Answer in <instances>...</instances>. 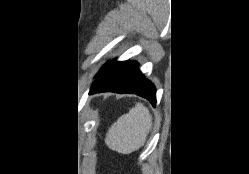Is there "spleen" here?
<instances>
[{"instance_id": "obj_1", "label": "spleen", "mask_w": 249, "mask_h": 174, "mask_svg": "<svg viewBox=\"0 0 249 174\" xmlns=\"http://www.w3.org/2000/svg\"><path fill=\"white\" fill-rule=\"evenodd\" d=\"M152 128V116L142 103L120 116L109 128L105 144L113 151L130 154L141 148Z\"/></svg>"}]
</instances>
